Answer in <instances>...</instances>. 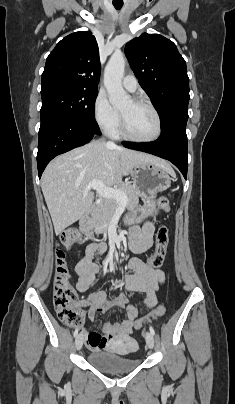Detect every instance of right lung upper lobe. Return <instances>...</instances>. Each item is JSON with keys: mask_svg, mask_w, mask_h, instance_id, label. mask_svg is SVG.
Segmentation results:
<instances>
[{"mask_svg": "<svg viewBox=\"0 0 235 404\" xmlns=\"http://www.w3.org/2000/svg\"><path fill=\"white\" fill-rule=\"evenodd\" d=\"M99 49L90 31L72 33L63 38L47 57L42 85L62 83L98 91Z\"/></svg>", "mask_w": 235, "mask_h": 404, "instance_id": "obj_1", "label": "right lung upper lobe"}]
</instances>
